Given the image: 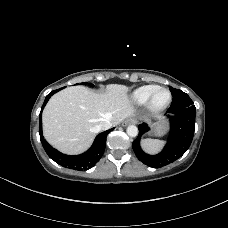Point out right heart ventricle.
<instances>
[{"label": "right heart ventricle", "mask_w": 228, "mask_h": 228, "mask_svg": "<svg viewBox=\"0 0 228 228\" xmlns=\"http://www.w3.org/2000/svg\"><path fill=\"white\" fill-rule=\"evenodd\" d=\"M158 87L159 86L153 85V84L138 87L132 92L130 99L134 104H137V105L145 104L148 98L150 97V95Z\"/></svg>", "instance_id": "right-heart-ventricle-1"}]
</instances>
